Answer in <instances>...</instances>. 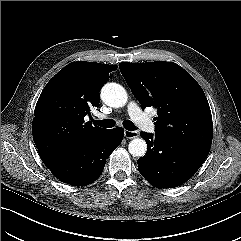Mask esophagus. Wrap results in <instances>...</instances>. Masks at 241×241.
<instances>
[{"label":"esophagus","mask_w":241,"mask_h":241,"mask_svg":"<svg viewBox=\"0 0 241 241\" xmlns=\"http://www.w3.org/2000/svg\"><path fill=\"white\" fill-rule=\"evenodd\" d=\"M139 133L137 131H129V130H125L124 131V136L127 138V139H133V138H136L138 137Z\"/></svg>","instance_id":"esophagus-1"}]
</instances>
